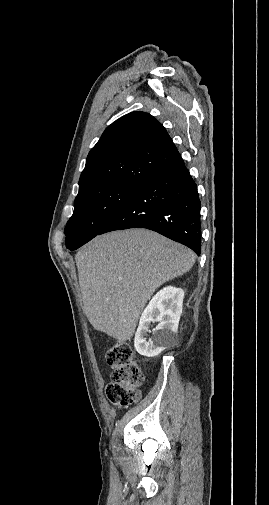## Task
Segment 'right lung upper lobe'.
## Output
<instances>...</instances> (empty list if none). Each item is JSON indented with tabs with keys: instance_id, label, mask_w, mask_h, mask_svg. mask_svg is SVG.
Instances as JSON below:
<instances>
[{
	"instance_id": "obj_1",
	"label": "right lung upper lobe",
	"mask_w": 269,
	"mask_h": 505,
	"mask_svg": "<svg viewBox=\"0 0 269 505\" xmlns=\"http://www.w3.org/2000/svg\"><path fill=\"white\" fill-rule=\"evenodd\" d=\"M179 159L172 139L153 116L131 112L108 126L90 150L80 176L79 193L107 183L141 186Z\"/></svg>"
}]
</instances>
